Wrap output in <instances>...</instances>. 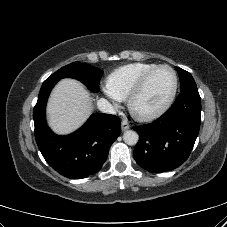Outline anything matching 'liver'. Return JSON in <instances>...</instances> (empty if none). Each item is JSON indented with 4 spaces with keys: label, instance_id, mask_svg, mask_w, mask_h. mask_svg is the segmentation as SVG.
<instances>
[{
    "label": "liver",
    "instance_id": "liver-1",
    "mask_svg": "<svg viewBox=\"0 0 227 227\" xmlns=\"http://www.w3.org/2000/svg\"><path fill=\"white\" fill-rule=\"evenodd\" d=\"M91 114V97L74 79H63L53 89L48 105L49 126L58 134H68L80 127Z\"/></svg>",
    "mask_w": 227,
    "mask_h": 227
}]
</instances>
